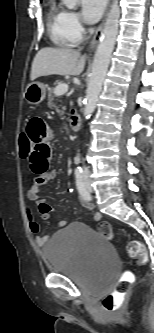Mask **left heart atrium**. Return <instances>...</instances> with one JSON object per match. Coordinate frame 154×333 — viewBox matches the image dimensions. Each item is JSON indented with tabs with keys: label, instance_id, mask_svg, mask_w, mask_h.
<instances>
[{
	"label": "left heart atrium",
	"instance_id": "39dd6f15",
	"mask_svg": "<svg viewBox=\"0 0 154 333\" xmlns=\"http://www.w3.org/2000/svg\"><path fill=\"white\" fill-rule=\"evenodd\" d=\"M107 0H81L82 14L88 23L97 22L104 11Z\"/></svg>",
	"mask_w": 154,
	"mask_h": 333
}]
</instances>
